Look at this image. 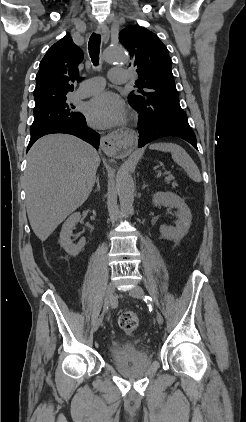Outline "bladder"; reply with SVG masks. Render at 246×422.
Listing matches in <instances>:
<instances>
[{
  "mask_svg": "<svg viewBox=\"0 0 246 422\" xmlns=\"http://www.w3.org/2000/svg\"><path fill=\"white\" fill-rule=\"evenodd\" d=\"M110 356L113 360H117L123 356L143 357L146 356L145 351L139 346L131 342H115L109 347Z\"/></svg>",
  "mask_w": 246,
  "mask_h": 422,
  "instance_id": "bladder-1",
  "label": "bladder"
}]
</instances>
